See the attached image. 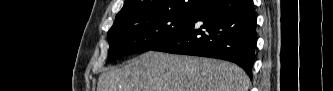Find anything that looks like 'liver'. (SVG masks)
I'll return each instance as SVG.
<instances>
[{
	"instance_id": "obj_1",
	"label": "liver",
	"mask_w": 333,
	"mask_h": 91,
	"mask_svg": "<svg viewBox=\"0 0 333 91\" xmlns=\"http://www.w3.org/2000/svg\"><path fill=\"white\" fill-rule=\"evenodd\" d=\"M249 84L230 62L148 51L102 73L97 91H248Z\"/></svg>"
}]
</instances>
